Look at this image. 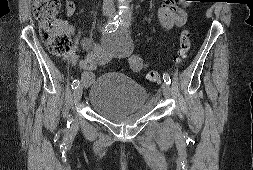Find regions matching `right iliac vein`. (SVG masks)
Instances as JSON below:
<instances>
[{
    "mask_svg": "<svg viewBox=\"0 0 253 170\" xmlns=\"http://www.w3.org/2000/svg\"><path fill=\"white\" fill-rule=\"evenodd\" d=\"M104 15L108 18H111V14L110 13H104ZM82 90H83V83L81 82L77 88L74 89V92H73V98H74V101L76 103H78L81 99V95H82Z\"/></svg>",
    "mask_w": 253,
    "mask_h": 170,
    "instance_id": "obj_1",
    "label": "right iliac vein"
}]
</instances>
